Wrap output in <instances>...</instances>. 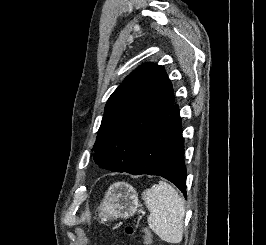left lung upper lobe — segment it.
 I'll use <instances>...</instances> for the list:
<instances>
[{"label": "left lung upper lobe", "instance_id": "1", "mask_svg": "<svg viewBox=\"0 0 266 245\" xmlns=\"http://www.w3.org/2000/svg\"><path fill=\"white\" fill-rule=\"evenodd\" d=\"M174 104L172 84L162 66L146 63L113 92L93 147L102 168L125 172L141 138Z\"/></svg>", "mask_w": 266, "mask_h": 245}]
</instances>
